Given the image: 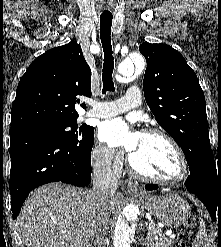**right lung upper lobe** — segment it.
I'll list each match as a JSON object with an SVG mask.
<instances>
[{
	"mask_svg": "<svg viewBox=\"0 0 221 247\" xmlns=\"http://www.w3.org/2000/svg\"><path fill=\"white\" fill-rule=\"evenodd\" d=\"M79 95L91 96V70L80 45L71 41L30 64L17 87L10 130L76 121L74 105L80 102Z\"/></svg>",
	"mask_w": 221,
	"mask_h": 247,
	"instance_id": "1",
	"label": "right lung upper lobe"
}]
</instances>
